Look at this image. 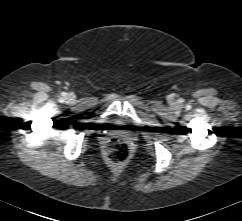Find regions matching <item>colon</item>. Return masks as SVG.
I'll return each mask as SVG.
<instances>
[{
    "label": "colon",
    "mask_w": 242,
    "mask_h": 221,
    "mask_svg": "<svg viewBox=\"0 0 242 221\" xmlns=\"http://www.w3.org/2000/svg\"><path fill=\"white\" fill-rule=\"evenodd\" d=\"M106 155L113 163H123L130 157V146L125 141L111 140L106 146Z\"/></svg>",
    "instance_id": "1"
}]
</instances>
